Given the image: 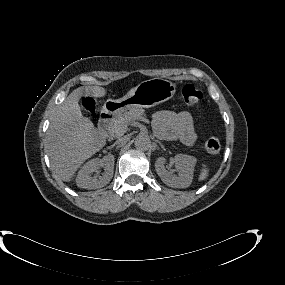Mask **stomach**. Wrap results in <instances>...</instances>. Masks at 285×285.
Returning <instances> with one entry per match:
<instances>
[{
	"label": "stomach",
	"mask_w": 285,
	"mask_h": 285,
	"mask_svg": "<svg viewBox=\"0 0 285 285\" xmlns=\"http://www.w3.org/2000/svg\"><path fill=\"white\" fill-rule=\"evenodd\" d=\"M176 91V86L169 80L153 78L138 84L134 92L124 97L112 100L108 99L103 111L111 115H119L134 108H149L159 105L171 99Z\"/></svg>",
	"instance_id": "1"
}]
</instances>
